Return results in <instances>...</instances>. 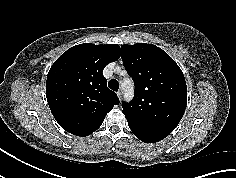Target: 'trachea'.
Masks as SVG:
<instances>
[{"mask_svg":"<svg viewBox=\"0 0 236 178\" xmlns=\"http://www.w3.org/2000/svg\"><path fill=\"white\" fill-rule=\"evenodd\" d=\"M108 87L113 90V91H118L119 89V83L117 80L115 79H111L109 82H108Z\"/></svg>","mask_w":236,"mask_h":178,"instance_id":"1","label":"trachea"}]
</instances>
